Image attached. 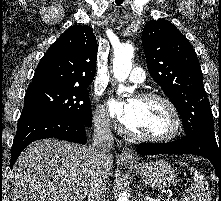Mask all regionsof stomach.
Here are the masks:
<instances>
[{
    "label": "stomach",
    "instance_id": "0dacf381",
    "mask_svg": "<svg viewBox=\"0 0 221 201\" xmlns=\"http://www.w3.org/2000/svg\"><path fill=\"white\" fill-rule=\"evenodd\" d=\"M126 166L136 169L142 176L144 182L152 188H167L176 180L174 169L164 160H154L141 165L126 163Z\"/></svg>",
    "mask_w": 221,
    "mask_h": 201
}]
</instances>
